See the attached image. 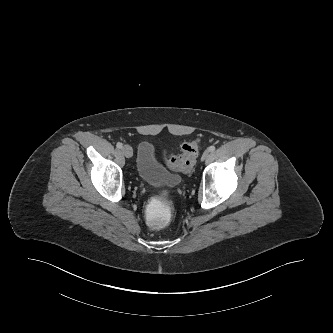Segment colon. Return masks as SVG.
<instances>
[{
  "instance_id": "5ec220e1",
  "label": "colon",
  "mask_w": 333,
  "mask_h": 333,
  "mask_svg": "<svg viewBox=\"0 0 333 333\" xmlns=\"http://www.w3.org/2000/svg\"><path fill=\"white\" fill-rule=\"evenodd\" d=\"M199 144L197 140L189 141L181 146L179 155L171 156L166 164L172 171L189 172L195 164L198 155ZM173 195L168 190H158L153 195V200L146 203L144 208V220L146 225L155 231L168 226L172 219Z\"/></svg>"
}]
</instances>
